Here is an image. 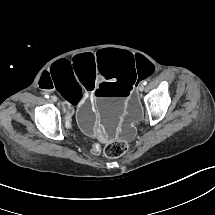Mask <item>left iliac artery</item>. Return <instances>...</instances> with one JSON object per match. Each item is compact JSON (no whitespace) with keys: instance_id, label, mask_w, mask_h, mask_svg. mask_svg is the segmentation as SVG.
Returning a JSON list of instances; mask_svg holds the SVG:
<instances>
[{"instance_id":"left-iliac-artery-1","label":"left iliac artery","mask_w":215,"mask_h":215,"mask_svg":"<svg viewBox=\"0 0 215 215\" xmlns=\"http://www.w3.org/2000/svg\"><path fill=\"white\" fill-rule=\"evenodd\" d=\"M143 84H144V85H146V84H147V81H146V80H145V81H143Z\"/></svg>"}]
</instances>
